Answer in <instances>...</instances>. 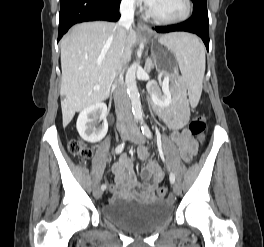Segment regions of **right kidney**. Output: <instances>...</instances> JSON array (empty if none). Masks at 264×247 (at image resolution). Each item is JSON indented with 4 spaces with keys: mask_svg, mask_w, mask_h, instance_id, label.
<instances>
[{
    "mask_svg": "<svg viewBox=\"0 0 264 247\" xmlns=\"http://www.w3.org/2000/svg\"><path fill=\"white\" fill-rule=\"evenodd\" d=\"M106 115L107 106L103 103H95L84 108L76 123L81 138L90 143L101 141L108 131ZM98 120L103 121L102 125H98Z\"/></svg>",
    "mask_w": 264,
    "mask_h": 247,
    "instance_id": "1",
    "label": "right kidney"
}]
</instances>
